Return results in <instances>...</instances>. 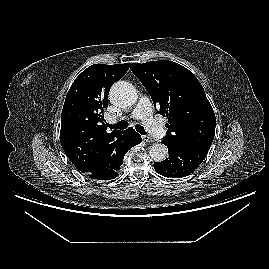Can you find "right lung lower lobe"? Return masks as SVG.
I'll use <instances>...</instances> for the list:
<instances>
[{"label": "right lung lower lobe", "mask_w": 269, "mask_h": 269, "mask_svg": "<svg viewBox=\"0 0 269 269\" xmlns=\"http://www.w3.org/2000/svg\"><path fill=\"white\" fill-rule=\"evenodd\" d=\"M141 136L133 128L122 131L118 153L114 159L111 160L109 166L99 173H85L88 177L98 180H110L118 176V170L123 164V157L125 153L133 146L141 143Z\"/></svg>", "instance_id": "right-lung-lower-lobe-1"}]
</instances>
